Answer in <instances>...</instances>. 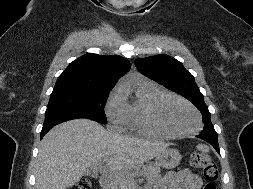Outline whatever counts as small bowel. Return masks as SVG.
Listing matches in <instances>:
<instances>
[{
    "label": "small bowel",
    "mask_w": 253,
    "mask_h": 189,
    "mask_svg": "<svg viewBox=\"0 0 253 189\" xmlns=\"http://www.w3.org/2000/svg\"><path fill=\"white\" fill-rule=\"evenodd\" d=\"M202 184V179L197 174L184 169L167 173L161 189H201Z\"/></svg>",
    "instance_id": "c3829d8e"
}]
</instances>
